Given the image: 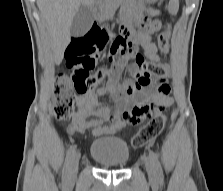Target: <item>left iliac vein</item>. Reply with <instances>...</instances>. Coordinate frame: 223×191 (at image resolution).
<instances>
[{
  "instance_id": "left-iliac-vein-1",
  "label": "left iliac vein",
  "mask_w": 223,
  "mask_h": 191,
  "mask_svg": "<svg viewBox=\"0 0 223 191\" xmlns=\"http://www.w3.org/2000/svg\"><path fill=\"white\" fill-rule=\"evenodd\" d=\"M144 164H145V168L148 173L149 179L152 182H155L157 180V175H156L155 168L152 161L149 158L145 157Z\"/></svg>"
}]
</instances>
